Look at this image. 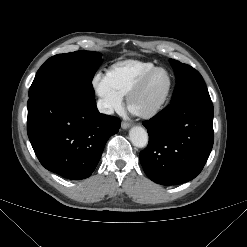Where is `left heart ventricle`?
I'll list each match as a JSON object with an SVG mask.
<instances>
[{
  "label": "left heart ventricle",
  "instance_id": "obj_1",
  "mask_svg": "<svg viewBox=\"0 0 247 247\" xmlns=\"http://www.w3.org/2000/svg\"><path fill=\"white\" fill-rule=\"evenodd\" d=\"M167 85V75L163 71L157 72L152 78L143 96L136 102L135 107L137 109H143L159 99L165 92Z\"/></svg>",
  "mask_w": 247,
  "mask_h": 247
}]
</instances>
